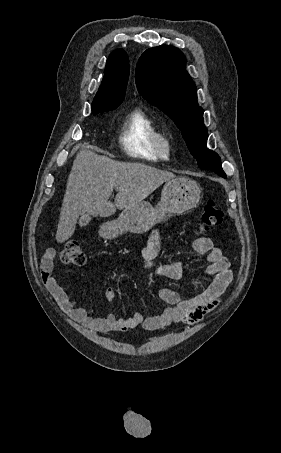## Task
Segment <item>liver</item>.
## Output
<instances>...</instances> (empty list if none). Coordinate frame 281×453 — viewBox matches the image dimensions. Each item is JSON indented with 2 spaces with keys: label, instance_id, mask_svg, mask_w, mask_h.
<instances>
[{
  "label": "liver",
  "instance_id": "liver-1",
  "mask_svg": "<svg viewBox=\"0 0 281 453\" xmlns=\"http://www.w3.org/2000/svg\"><path fill=\"white\" fill-rule=\"evenodd\" d=\"M171 178L175 174L169 170L143 162H120L93 150H80L66 184L55 237L57 243H65L74 235L80 214L111 216L116 208H131L141 202ZM113 188L119 190L115 202L109 200Z\"/></svg>",
  "mask_w": 281,
  "mask_h": 453
}]
</instances>
